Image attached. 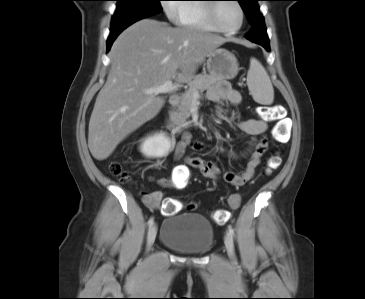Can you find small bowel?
I'll use <instances>...</instances> for the list:
<instances>
[{
  "instance_id": "c3829d8e",
  "label": "small bowel",
  "mask_w": 365,
  "mask_h": 299,
  "mask_svg": "<svg viewBox=\"0 0 365 299\" xmlns=\"http://www.w3.org/2000/svg\"><path fill=\"white\" fill-rule=\"evenodd\" d=\"M208 99L213 103H230L235 105L241 102V95L237 90L231 88L227 83L221 82L209 90ZM237 126L242 132L249 135L252 139L248 149L245 151V155L248 156V161L244 169L239 172H222L220 166L212 161L199 157H188L186 158L185 165H179L175 167L173 176L171 178L160 179V185L169 188L178 187V177L184 175L185 171L189 169V167L197 169L203 177L208 179H217L220 175H222L225 182L235 187L245 185L255 175L256 168L260 165L262 157L267 149L268 144L266 139H258L266 132L267 123L264 120L251 118L240 120ZM190 144V133L183 132L181 135V140L177 143L175 148V157L178 159L182 158ZM192 146L196 150L203 148V145L199 142L193 143ZM143 199L148 208L158 209L162 203L163 193L161 191L146 193Z\"/></svg>"
}]
</instances>
